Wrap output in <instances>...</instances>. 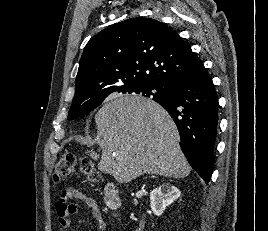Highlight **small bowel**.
Masks as SVG:
<instances>
[{
  "instance_id": "obj_1",
  "label": "small bowel",
  "mask_w": 268,
  "mask_h": 231,
  "mask_svg": "<svg viewBox=\"0 0 268 231\" xmlns=\"http://www.w3.org/2000/svg\"><path fill=\"white\" fill-rule=\"evenodd\" d=\"M76 201L82 202L89 210L92 219L97 224V230L104 231L105 223L96 200L74 187L62 190L56 200V216L60 227L65 229L73 227L72 216L81 209Z\"/></svg>"
}]
</instances>
